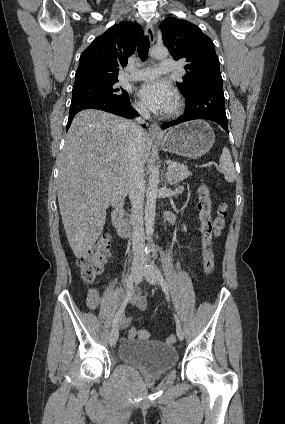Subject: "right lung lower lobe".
Listing matches in <instances>:
<instances>
[{"instance_id":"1","label":"right lung lower lobe","mask_w":285,"mask_h":424,"mask_svg":"<svg viewBox=\"0 0 285 424\" xmlns=\"http://www.w3.org/2000/svg\"><path fill=\"white\" fill-rule=\"evenodd\" d=\"M84 109L103 110L125 118H134L138 116L137 112L131 107L129 99L125 101H118L98 95H76L73 96L71 100L66 130L69 129L74 116ZM143 126L145 127V125Z\"/></svg>"}]
</instances>
